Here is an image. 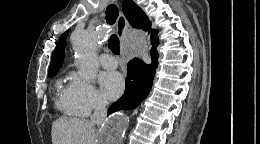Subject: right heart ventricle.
I'll list each match as a JSON object with an SVG mask.
<instances>
[{"label": "right heart ventricle", "mask_w": 260, "mask_h": 144, "mask_svg": "<svg viewBox=\"0 0 260 144\" xmlns=\"http://www.w3.org/2000/svg\"><path fill=\"white\" fill-rule=\"evenodd\" d=\"M58 95L56 99L57 107L69 116H80L77 112L70 96V85L64 86L62 80L57 81Z\"/></svg>", "instance_id": "right-heart-ventricle-1"}]
</instances>
